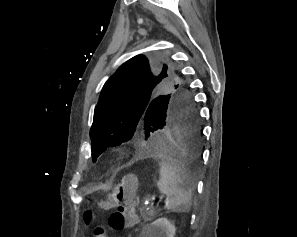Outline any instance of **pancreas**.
I'll list each match as a JSON object with an SVG mask.
<instances>
[{"instance_id": "cf45deb5", "label": "pancreas", "mask_w": 297, "mask_h": 237, "mask_svg": "<svg viewBox=\"0 0 297 237\" xmlns=\"http://www.w3.org/2000/svg\"><path fill=\"white\" fill-rule=\"evenodd\" d=\"M158 213L157 210L151 208L149 211L143 213L144 216H148L150 219L153 218Z\"/></svg>"}]
</instances>
